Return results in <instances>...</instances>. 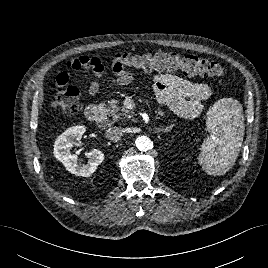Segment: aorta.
I'll return each mask as SVG.
<instances>
[{
    "mask_svg": "<svg viewBox=\"0 0 268 268\" xmlns=\"http://www.w3.org/2000/svg\"><path fill=\"white\" fill-rule=\"evenodd\" d=\"M135 144H136V147L140 151H148L149 149L152 148V145H153L151 140L147 136H144V135L138 136L136 138Z\"/></svg>",
    "mask_w": 268,
    "mask_h": 268,
    "instance_id": "762f6f07",
    "label": "aorta"
}]
</instances>
